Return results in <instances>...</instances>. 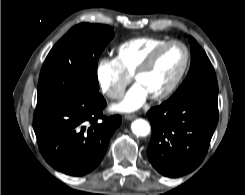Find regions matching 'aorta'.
Here are the masks:
<instances>
[{
  "instance_id": "1",
  "label": "aorta",
  "mask_w": 245,
  "mask_h": 195,
  "mask_svg": "<svg viewBox=\"0 0 245 195\" xmlns=\"http://www.w3.org/2000/svg\"><path fill=\"white\" fill-rule=\"evenodd\" d=\"M131 130L132 132L137 136H147L150 132V125L149 123L144 119H136L131 124Z\"/></svg>"
}]
</instances>
